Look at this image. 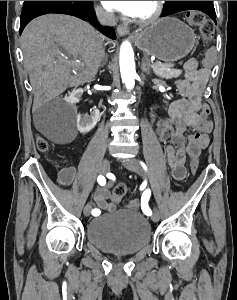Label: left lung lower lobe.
Listing matches in <instances>:
<instances>
[{
	"label": "left lung lower lobe",
	"mask_w": 237,
	"mask_h": 300,
	"mask_svg": "<svg viewBox=\"0 0 237 300\" xmlns=\"http://www.w3.org/2000/svg\"><path fill=\"white\" fill-rule=\"evenodd\" d=\"M185 10L202 11L205 14H207L209 17H211L216 24V13H215L213 1H198L192 3L178 4L173 6L169 11L171 12V14H174ZM162 16H167V13L164 12Z\"/></svg>",
	"instance_id": "0a47b994"
}]
</instances>
